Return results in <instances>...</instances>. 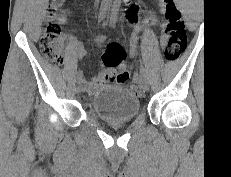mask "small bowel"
Returning a JSON list of instances; mask_svg holds the SVG:
<instances>
[{
	"label": "small bowel",
	"instance_id": "1",
	"mask_svg": "<svg viewBox=\"0 0 231 177\" xmlns=\"http://www.w3.org/2000/svg\"><path fill=\"white\" fill-rule=\"evenodd\" d=\"M160 3L164 4L163 0H158ZM64 0H57L55 5H51V13L54 15L57 19V21L60 24H64L67 22V16H66V10L63 8H60L61 3H63ZM126 3L127 8V19L130 23H132L136 29H140L143 25H152L156 23V18L152 15L146 17L145 19L141 20L139 17V10L138 6L131 2V0H124ZM65 39L69 41V43L72 45L75 53L79 57L85 56V51L82 47V45L72 36H66ZM161 45H165V41L162 39ZM132 52L134 51V48L136 46V40L134 39L132 41ZM108 68L105 70H102L99 75L94 77L87 86V90L89 93H94L99 87L108 85V84H123L127 81L129 78V67L125 63H119L115 66L107 65Z\"/></svg>",
	"mask_w": 231,
	"mask_h": 177
}]
</instances>
